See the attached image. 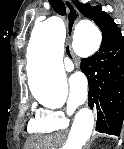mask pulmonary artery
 I'll return each mask as SVG.
<instances>
[{"label": "pulmonary artery", "instance_id": "obj_1", "mask_svg": "<svg viewBox=\"0 0 124 149\" xmlns=\"http://www.w3.org/2000/svg\"><path fill=\"white\" fill-rule=\"evenodd\" d=\"M64 67H65V69H66L67 71L73 70L74 66H73V64H72L71 59L66 58V59L64 60Z\"/></svg>", "mask_w": 124, "mask_h": 149}]
</instances>
